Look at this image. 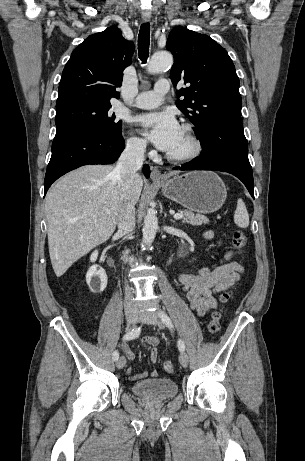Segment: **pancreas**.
Wrapping results in <instances>:
<instances>
[{"instance_id":"1","label":"pancreas","mask_w":305,"mask_h":461,"mask_svg":"<svg viewBox=\"0 0 305 461\" xmlns=\"http://www.w3.org/2000/svg\"><path fill=\"white\" fill-rule=\"evenodd\" d=\"M180 213L183 215V223H188L194 226H199L202 224H207L209 222L208 218L201 214H194L189 210H181Z\"/></svg>"}]
</instances>
